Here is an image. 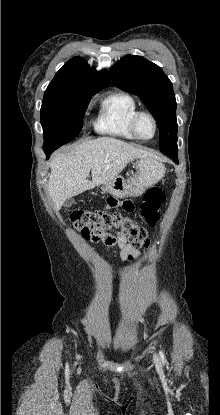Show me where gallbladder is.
<instances>
[{
    "label": "gallbladder",
    "mask_w": 220,
    "mask_h": 415,
    "mask_svg": "<svg viewBox=\"0 0 220 415\" xmlns=\"http://www.w3.org/2000/svg\"><path fill=\"white\" fill-rule=\"evenodd\" d=\"M73 204H75V200H74L73 198H69V199H67V200L64 202L63 206H64L65 208H69V207H71Z\"/></svg>",
    "instance_id": "bac80fb5"
}]
</instances>
